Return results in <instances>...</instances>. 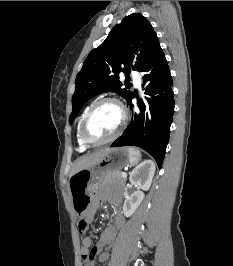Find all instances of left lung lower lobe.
<instances>
[{
  "label": "left lung lower lobe",
  "mask_w": 233,
  "mask_h": 266,
  "mask_svg": "<svg viewBox=\"0 0 233 266\" xmlns=\"http://www.w3.org/2000/svg\"><path fill=\"white\" fill-rule=\"evenodd\" d=\"M144 73L145 98L138 99L129 127L111 147L137 146L150 153L159 168L165 155L174 114L172 76L160 44L150 53L139 70ZM134 98L133 94L128 99ZM133 108V106H131Z\"/></svg>",
  "instance_id": "0a47b994"
}]
</instances>
